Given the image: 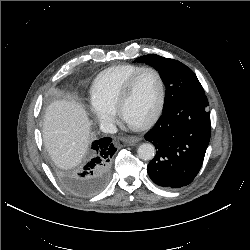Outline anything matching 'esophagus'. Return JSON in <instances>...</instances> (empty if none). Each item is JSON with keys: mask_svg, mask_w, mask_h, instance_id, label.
Segmentation results:
<instances>
[{"mask_svg": "<svg viewBox=\"0 0 250 250\" xmlns=\"http://www.w3.org/2000/svg\"><path fill=\"white\" fill-rule=\"evenodd\" d=\"M140 140L139 137L136 136H129L122 139L123 142L127 143L128 145H134Z\"/></svg>", "mask_w": 250, "mask_h": 250, "instance_id": "1", "label": "esophagus"}]
</instances>
